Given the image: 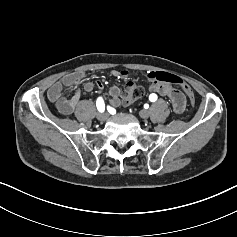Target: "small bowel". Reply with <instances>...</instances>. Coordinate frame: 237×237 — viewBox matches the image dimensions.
Listing matches in <instances>:
<instances>
[{
	"instance_id": "c3829d8e",
	"label": "small bowel",
	"mask_w": 237,
	"mask_h": 237,
	"mask_svg": "<svg viewBox=\"0 0 237 237\" xmlns=\"http://www.w3.org/2000/svg\"><path fill=\"white\" fill-rule=\"evenodd\" d=\"M149 73H146V77L152 80V84L149 87L151 92L158 93L162 96L169 98L174 112L177 114H181L185 110L186 106V98L182 92L175 89L169 84L157 82L149 77ZM112 75L116 78H126L128 73L124 70L121 71H113ZM85 77V72L82 70H78L72 73H69L62 77L59 81L53 83L47 92L48 99L51 103H53L57 110L63 115H71L83 107L85 104L87 107L89 106L88 102L81 101V91L78 89L75 91L73 95L70 97H65L63 95V89L65 87H74L79 84ZM104 81L97 80L95 82L87 81L83 84V89L86 92H91L95 89V87L99 89L104 88ZM110 100L109 104L111 107H118L121 103L120 100V89L116 86H113L109 90Z\"/></svg>"
}]
</instances>
